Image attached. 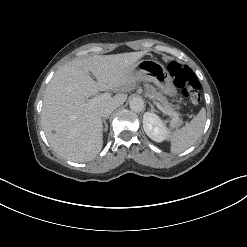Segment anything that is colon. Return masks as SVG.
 I'll return each instance as SVG.
<instances>
[{
    "mask_svg": "<svg viewBox=\"0 0 247 247\" xmlns=\"http://www.w3.org/2000/svg\"><path fill=\"white\" fill-rule=\"evenodd\" d=\"M168 71L173 78L174 84L181 89L183 95L189 98L191 102L198 103L201 85L191 68L177 62H170Z\"/></svg>",
    "mask_w": 247,
    "mask_h": 247,
    "instance_id": "colon-1",
    "label": "colon"
}]
</instances>
